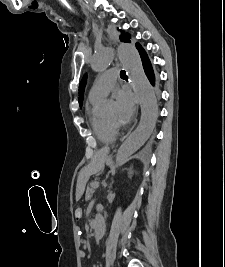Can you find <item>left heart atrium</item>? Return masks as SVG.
<instances>
[{
  "label": "left heart atrium",
  "instance_id": "obj_1",
  "mask_svg": "<svg viewBox=\"0 0 225 267\" xmlns=\"http://www.w3.org/2000/svg\"><path fill=\"white\" fill-rule=\"evenodd\" d=\"M117 113L115 121L118 125L129 122L134 112V101L131 93L126 89L118 90L115 93Z\"/></svg>",
  "mask_w": 225,
  "mask_h": 267
}]
</instances>
